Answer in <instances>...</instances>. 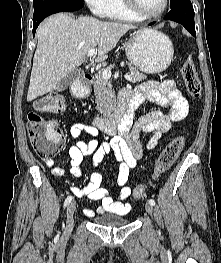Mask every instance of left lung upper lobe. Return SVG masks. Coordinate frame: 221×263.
<instances>
[{"mask_svg":"<svg viewBox=\"0 0 221 263\" xmlns=\"http://www.w3.org/2000/svg\"><path fill=\"white\" fill-rule=\"evenodd\" d=\"M171 7H177L186 3H190V0H170Z\"/></svg>","mask_w":221,"mask_h":263,"instance_id":"1","label":"left lung upper lobe"}]
</instances>
